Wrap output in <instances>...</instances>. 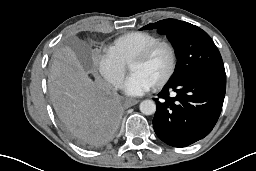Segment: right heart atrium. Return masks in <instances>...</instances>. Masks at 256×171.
Masks as SVG:
<instances>
[{"label":"right heart atrium","instance_id":"1","mask_svg":"<svg viewBox=\"0 0 256 171\" xmlns=\"http://www.w3.org/2000/svg\"><path fill=\"white\" fill-rule=\"evenodd\" d=\"M92 66L112 88H120L126 69L125 65L112 53L95 52L92 55Z\"/></svg>","mask_w":256,"mask_h":171}]
</instances>
